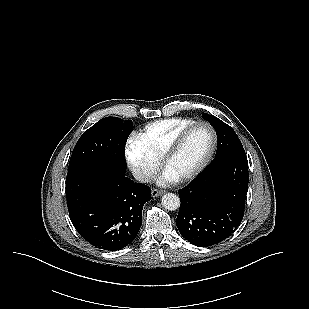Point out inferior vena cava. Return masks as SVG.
I'll list each match as a JSON object with an SVG mask.
<instances>
[{
	"mask_svg": "<svg viewBox=\"0 0 309 309\" xmlns=\"http://www.w3.org/2000/svg\"><path fill=\"white\" fill-rule=\"evenodd\" d=\"M133 176L136 180H138L139 182H143V183H148L150 181L153 180V176L147 174V173H144L142 171H134L133 172Z\"/></svg>",
	"mask_w": 309,
	"mask_h": 309,
	"instance_id": "602c4592",
	"label": "inferior vena cava"
}]
</instances>
